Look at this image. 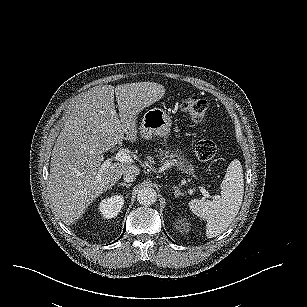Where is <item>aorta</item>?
Returning a JSON list of instances; mask_svg holds the SVG:
<instances>
[{"mask_svg": "<svg viewBox=\"0 0 307 307\" xmlns=\"http://www.w3.org/2000/svg\"><path fill=\"white\" fill-rule=\"evenodd\" d=\"M157 200V193L151 187H144L138 191L137 201L144 206H150Z\"/></svg>", "mask_w": 307, "mask_h": 307, "instance_id": "obj_1", "label": "aorta"}]
</instances>
